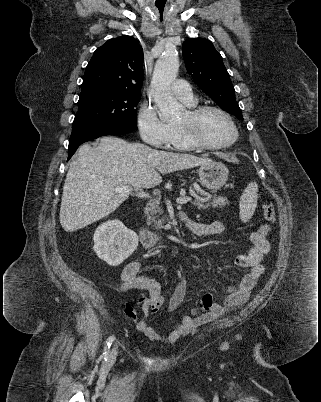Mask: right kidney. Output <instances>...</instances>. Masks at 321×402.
Segmentation results:
<instances>
[{
	"label": "right kidney",
	"mask_w": 321,
	"mask_h": 402,
	"mask_svg": "<svg viewBox=\"0 0 321 402\" xmlns=\"http://www.w3.org/2000/svg\"><path fill=\"white\" fill-rule=\"evenodd\" d=\"M93 240L97 256L114 267L127 259L138 246L137 234L117 219L98 226Z\"/></svg>",
	"instance_id": "1"
}]
</instances>
